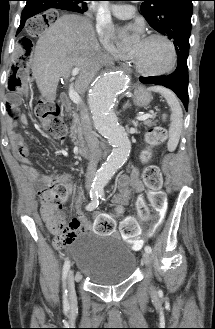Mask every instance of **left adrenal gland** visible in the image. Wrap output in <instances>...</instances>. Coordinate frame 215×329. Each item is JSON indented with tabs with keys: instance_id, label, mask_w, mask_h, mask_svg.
<instances>
[{
	"instance_id": "obj_1",
	"label": "left adrenal gland",
	"mask_w": 215,
	"mask_h": 329,
	"mask_svg": "<svg viewBox=\"0 0 215 329\" xmlns=\"http://www.w3.org/2000/svg\"><path fill=\"white\" fill-rule=\"evenodd\" d=\"M131 107V104L129 102V100L124 104L123 106V110L127 109V108H130Z\"/></svg>"
}]
</instances>
